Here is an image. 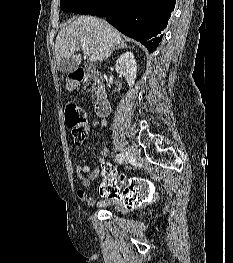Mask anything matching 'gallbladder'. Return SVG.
<instances>
[{"label": "gallbladder", "mask_w": 233, "mask_h": 263, "mask_svg": "<svg viewBox=\"0 0 233 263\" xmlns=\"http://www.w3.org/2000/svg\"><path fill=\"white\" fill-rule=\"evenodd\" d=\"M72 62H66L65 60H61L58 63V69L63 71V72H67L70 71L72 69Z\"/></svg>", "instance_id": "obj_1"}]
</instances>
